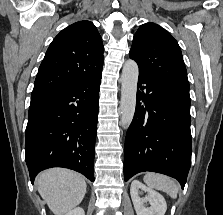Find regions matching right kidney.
I'll list each match as a JSON object with an SVG mask.
<instances>
[{
    "label": "right kidney",
    "mask_w": 223,
    "mask_h": 215,
    "mask_svg": "<svg viewBox=\"0 0 223 215\" xmlns=\"http://www.w3.org/2000/svg\"><path fill=\"white\" fill-rule=\"evenodd\" d=\"M65 215H85V211L83 207H74V209H70V211H67Z\"/></svg>",
    "instance_id": "ca27d5eb"
}]
</instances>
